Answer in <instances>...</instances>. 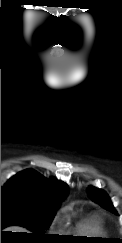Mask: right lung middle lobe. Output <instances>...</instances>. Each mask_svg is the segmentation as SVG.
Segmentation results:
<instances>
[{"label": "right lung middle lobe", "instance_id": "right-lung-middle-lobe-1", "mask_svg": "<svg viewBox=\"0 0 122 243\" xmlns=\"http://www.w3.org/2000/svg\"><path fill=\"white\" fill-rule=\"evenodd\" d=\"M59 206H40L15 198H1V230L19 225L29 229L38 238H49V228Z\"/></svg>", "mask_w": 122, "mask_h": 243}]
</instances>
